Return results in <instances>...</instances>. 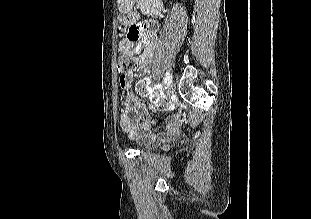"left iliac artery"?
I'll use <instances>...</instances> for the list:
<instances>
[{"label":"left iliac artery","instance_id":"obj_1","mask_svg":"<svg viewBox=\"0 0 311 219\" xmlns=\"http://www.w3.org/2000/svg\"><path fill=\"white\" fill-rule=\"evenodd\" d=\"M164 82L165 84H170L172 82V75L168 71L165 73Z\"/></svg>","mask_w":311,"mask_h":219}]
</instances>
